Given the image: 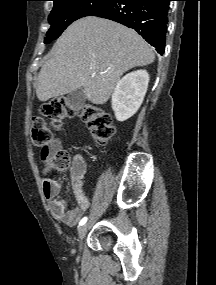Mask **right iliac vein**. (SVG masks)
<instances>
[{
	"label": "right iliac vein",
	"mask_w": 216,
	"mask_h": 285,
	"mask_svg": "<svg viewBox=\"0 0 216 285\" xmlns=\"http://www.w3.org/2000/svg\"><path fill=\"white\" fill-rule=\"evenodd\" d=\"M87 228H88L87 224H84L78 230V238L80 241V248H81V242L87 233Z\"/></svg>",
	"instance_id": "obj_1"
}]
</instances>
